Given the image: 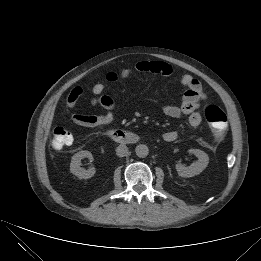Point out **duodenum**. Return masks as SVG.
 <instances>
[{
  "mask_svg": "<svg viewBox=\"0 0 261 261\" xmlns=\"http://www.w3.org/2000/svg\"><path fill=\"white\" fill-rule=\"evenodd\" d=\"M108 136L114 141L123 144L136 143L139 139L135 133L123 129H112L109 131Z\"/></svg>",
  "mask_w": 261,
  "mask_h": 261,
  "instance_id": "1",
  "label": "duodenum"
}]
</instances>
